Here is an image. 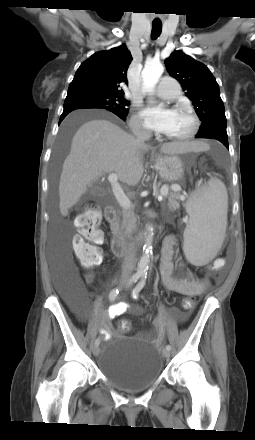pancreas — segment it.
<instances>
[{
  "label": "pancreas",
  "instance_id": "cf45deb5",
  "mask_svg": "<svg viewBox=\"0 0 255 440\" xmlns=\"http://www.w3.org/2000/svg\"><path fill=\"white\" fill-rule=\"evenodd\" d=\"M174 189L173 187L171 188ZM165 192V197L168 198V206L171 210H176L179 208V203L177 199H179L180 195L175 191H169L168 186H164L161 188L160 193ZM137 217L132 210L123 209L118 212V216L111 223V230L114 234L129 237L133 231L136 229Z\"/></svg>",
  "mask_w": 255,
  "mask_h": 440
}]
</instances>
